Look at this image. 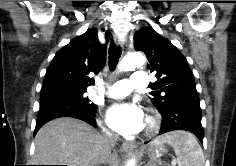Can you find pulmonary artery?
I'll list each match as a JSON object with an SVG mask.
<instances>
[{"mask_svg": "<svg viewBox=\"0 0 236 166\" xmlns=\"http://www.w3.org/2000/svg\"><path fill=\"white\" fill-rule=\"evenodd\" d=\"M147 73L145 71H135L130 80H118L113 83L108 91L112 98H122L127 96L133 88L144 87L147 84Z\"/></svg>", "mask_w": 236, "mask_h": 166, "instance_id": "pulmonary-artery-1", "label": "pulmonary artery"}]
</instances>
